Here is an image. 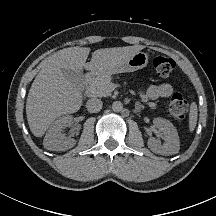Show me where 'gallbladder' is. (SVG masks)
Segmentation results:
<instances>
[{
    "label": "gallbladder",
    "mask_w": 216,
    "mask_h": 216,
    "mask_svg": "<svg viewBox=\"0 0 216 216\" xmlns=\"http://www.w3.org/2000/svg\"><path fill=\"white\" fill-rule=\"evenodd\" d=\"M62 72L69 81L77 86H79L84 80V76L81 71L62 69Z\"/></svg>",
    "instance_id": "bac80fb5"
}]
</instances>
